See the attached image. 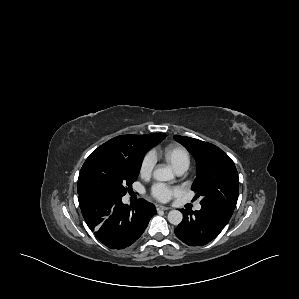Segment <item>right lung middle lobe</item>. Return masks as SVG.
<instances>
[{"label":"right lung middle lobe","instance_id":"obj_1","mask_svg":"<svg viewBox=\"0 0 299 299\" xmlns=\"http://www.w3.org/2000/svg\"><path fill=\"white\" fill-rule=\"evenodd\" d=\"M162 138L147 141V150ZM142 159H128L111 145L104 143L94 150L84 162L78 177V194L85 190L123 197L136 181Z\"/></svg>","mask_w":299,"mask_h":299}]
</instances>
